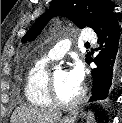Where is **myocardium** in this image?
<instances>
[{"label": "myocardium", "instance_id": "myocardium-1", "mask_svg": "<svg viewBox=\"0 0 122 123\" xmlns=\"http://www.w3.org/2000/svg\"><path fill=\"white\" fill-rule=\"evenodd\" d=\"M48 95L53 104L63 107H70L78 104L85 95V87H81L78 94L69 100L61 99L57 93L54 72L49 73L48 77Z\"/></svg>", "mask_w": 122, "mask_h": 123}]
</instances>
